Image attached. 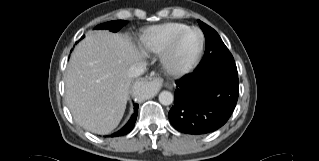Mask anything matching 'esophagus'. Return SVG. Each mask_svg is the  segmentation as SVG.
<instances>
[{
    "mask_svg": "<svg viewBox=\"0 0 319 161\" xmlns=\"http://www.w3.org/2000/svg\"><path fill=\"white\" fill-rule=\"evenodd\" d=\"M145 80L150 82L156 89H160L163 86V80L157 73H152L151 76L146 78Z\"/></svg>",
    "mask_w": 319,
    "mask_h": 161,
    "instance_id": "34e87169",
    "label": "esophagus"
}]
</instances>
